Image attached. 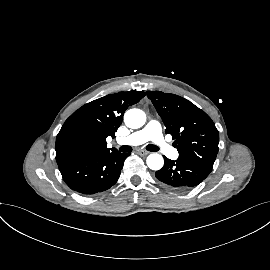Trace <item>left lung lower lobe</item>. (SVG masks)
I'll list each match as a JSON object with an SVG mask.
<instances>
[{
    "label": "left lung lower lobe",
    "mask_w": 270,
    "mask_h": 270,
    "mask_svg": "<svg viewBox=\"0 0 270 270\" xmlns=\"http://www.w3.org/2000/svg\"><path fill=\"white\" fill-rule=\"evenodd\" d=\"M162 169L155 173L156 178L171 189L184 191L199 185L211 172L192 161H173L164 157Z\"/></svg>",
    "instance_id": "0a47b994"
}]
</instances>
